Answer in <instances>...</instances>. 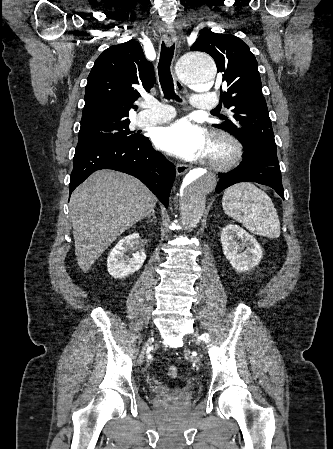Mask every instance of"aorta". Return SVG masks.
<instances>
[{
	"label": "aorta",
	"instance_id": "1",
	"mask_svg": "<svg viewBox=\"0 0 333 449\" xmlns=\"http://www.w3.org/2000/svg\"><path fill=\"white\" fill-rule=\"evenodd\" d=\"M180 80L190 88L207 91L216 77L214 60L205 52L194 51L183 56L178 64ZM216 175L210 171L194 169L180 184L178 197L182 220L193 228L205 210L206 196L214 191Z\"/></svg>",
	"mask_w": 333,
	"mask_h": 449
}]
</instances>
